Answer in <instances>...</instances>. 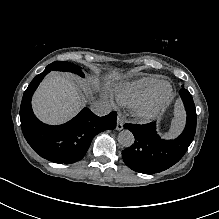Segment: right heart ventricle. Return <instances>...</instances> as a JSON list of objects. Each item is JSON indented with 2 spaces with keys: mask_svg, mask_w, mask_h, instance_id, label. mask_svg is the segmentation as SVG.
I'll list each match as a JSON object with an SVG mask.
<instances>
[{
  "mask_svg": "<svg viewBox=\"0 0 219 219\" xmlns=\"http://www.w3.org/2000/svg\"><path fill=\"white\" fill-rule=\"evenodd\" d=\"M154 76L144 77L140 80L125 83L118 91V99L124 105L134 106L147 97L159 84Z\"/></svg>",
  "mask_w": 219,
  "mask_h": 219,
  "instance_id": "right-heart-ventricle-1",
  "label": "right heart ventricle"
}]
</instances>
